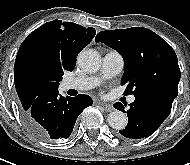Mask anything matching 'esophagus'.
I'll return each mask as SVG.
<instances>
[{"mask_svg": "<svg viewBox=\"0 0 190 165\" xmlns=\"http://www.w3.org/2000/svg\"><path fill=\"white\" fill-rule=\"evenodd\" d=\"M98 104H100L101 106H103V108L105 109V111L107 112H111L114 110L113 106L109 103H105V102H102V101H98Z\"/></svg>", "mask_w": 190, "mask_h": 165, "instance_id": "1", "label": "esophagus"}]
</instances>
